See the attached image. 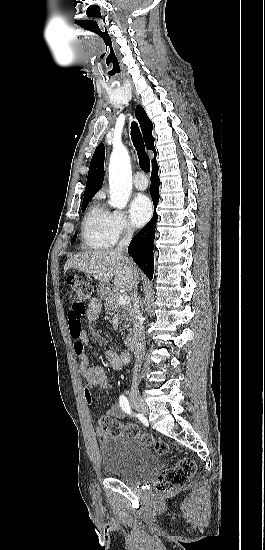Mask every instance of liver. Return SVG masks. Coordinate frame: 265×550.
<instances>
[{
	"mask_svg": "<svg viewBox=\"0 0 265 550\" xmlns=\"http://www.w3.org/2000/svg\"><path fill=\"white\" fill-rule=\"evenodd\" d=\"M74 268L85 272L100 281L99 292L104 295L110 292V281L114 277L115 291L130 292L133 289L134 277L138 271L129 258L116 250L89 251L79 253L69 258L64 266V272Z\"/></svg>",
	"mask_w": 265,
	"mask_h": 550,
	"instance_id": "1",
	"label": "liver"
}]
</instances>
